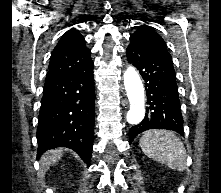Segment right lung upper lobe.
I'll return each mask as SVG.
<instances>
[{"mask_svg": "<svg viewBox=\"0 0 221 193\" xmlns=\"http://www.w3.org/2000/svg\"><path fill=\"white\" fill-rule=\"evenodd\" d=\"M90 54L84 37L76 29L68 30L52 52L46 80L82 70L92 62Z\"/></svg>", "mask_w": 221, "mask_h": 193, "instance_id": "cb5924a9", "label": "right lung upper lobe"}]
</instances>
